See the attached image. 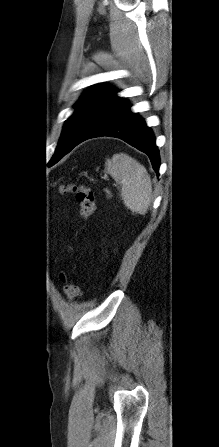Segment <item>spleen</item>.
<instances>
[{
	"mask_svg": "<svg viewBox=\"0 0 219 447\" xmlns=\"http://www.w3.org/2000/svg\"><path fill=\"white\" fill-rule=\"evenodd\" d=\"M105 171L122 187L124 205L132 212L145 214L152 198V184L145 167L125 153L106 159Z\"/></svg>",
	"mask_w": 219,
	"mask_h": 447,
	"instance_id": "1",
	"label": "spleen"
}]
</instances>
